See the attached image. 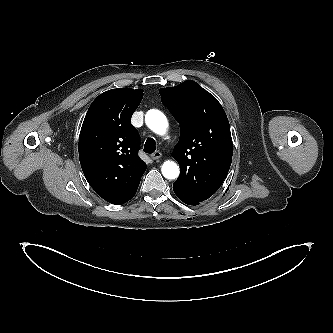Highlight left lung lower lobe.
<instances>
[{"label": "left lung lower lobe", "instance_id": "left-lung-lower-lobe-1", "mask_svg": "<svg viewBox=\"0 0 333 333\" xmlns=\"http://www.w3.org/2000/svg\"><path fill=\"white\" fill-rule=\"evenodd\" d=\"M173 190H174L175 194L177 195V197L181 201H183L184 203H186L188 205H198L200 203V201L198 199H196L195 197L190 196V195L184 193L181 190L175 189L174 187H173Z\"/></svg>", "mask_w": 333, "mask_h": 333}]
</instances>
